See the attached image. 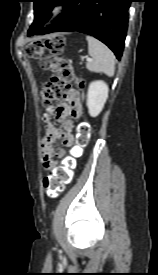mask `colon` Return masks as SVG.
<instances>
[{"instance_id":"colon-1","label":"colon","mask_w":158,"mask_h":275,"mask_svg":"<svg viewBox=\"0 0 158 275\" xmlns=\"http://www.w3.org/2000/svg\"><path fill=\"white\" fill-rule=\"evenodd\" d=\"M64 44V37L57 35L46 40L31 41L25 47L27 55L39 60L41 68L52 75L50 81L41 88L43 105L46 108L53 106L54 102L68 90L69 79L73 74L71 62L61 56ZM45 50L49 51L50 54L45 55ZM83 86V81L80 80L78 88L82 89ZM89 136L90 126L87 123L80 124L77 147L73 157L68 158L62 165L54 168L43 178V189L48 196L56 197L71 182L75 166L74 158L79 156L80 151L87 144Z\"/></svg>"}]
</instances>
